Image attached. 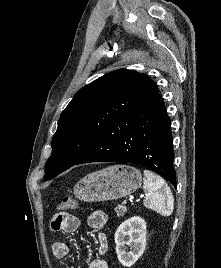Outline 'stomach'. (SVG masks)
<instances>
[{"mask_svg":"<svg viewBox=\"0 0 221 268\" xmlns=\"http://www.w3.org/2000/svg\"><path fill=\"white\" fill-rule=\"evenodd\" d=\"M141 183L142 175L137 168L113 165L83 177L73 193L85 202L116 200L136 191Z\"/></svg>","mask_w":221,"mask_h":268,"instance_id":"1","label":"stomach"}]
</instances>
